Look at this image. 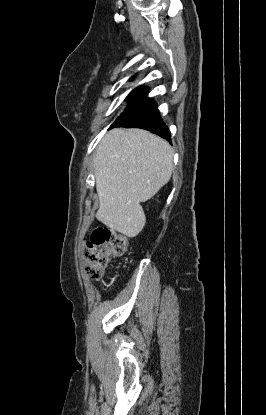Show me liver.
I'll return each instance as SVG.
<instances>
[{
  "instance_id": "6515ba94",
  "label": "liver",
  "mask_w": 266,
  "mask_h": 415,
  "mask_svg": "<svg viewBox=\"0 0 266 415\" xmlns=\"http://www.w3.org/2000/svg\"><path fill=\"white\" fill-rule=\"evenodd\" d=\"M93 169L99 197L96 218L132 238L146 223L140 203L171 178L173 150L148 131L115 128L98 145Z\"/></svg>"
}]
</instances>
